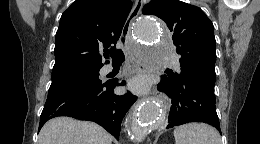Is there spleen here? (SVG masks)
Returning <instances> with one entry per match:
<instances>
[{"instance_id":"obj_1","label":"spleen","mask_w":260,"mask_h":144,"mask_svg":"<svg viewBox=\"0 0 260 144\" xmlns=\"http://www.w3.org/2000/svg\"><path fill=\"white\" fill-rule=\"evenodd\" d=\"M176 144H221L218 131L203 123H188L174 129Z\"/></svg>"}]
</instances>
